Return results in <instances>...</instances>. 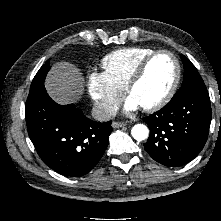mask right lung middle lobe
<instances>
[{
	"label": "right lung middle lobe",
	"mask_w": 221,
	"mask_h": 221,
	"mask_svg": "<svg viewBox=\"0 0 221 221\" xmlns=\"http://www.w3.org/2000/svg\"><path fill=\"white\" fill-rule=\"evenodd\" d=\"M49 61L48 60L40 69L39 71L37 72V74L35 75L33 81H32V84H31V88L30 89H35L36 87L38 86H41L44 84V80H45V77H46V74L47 72L49 71L50 69V66H49Z\"/></svg>",
	"instance_id": "1"
}]
</instances>
